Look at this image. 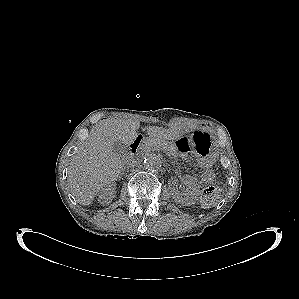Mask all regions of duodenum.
<instances>
[{"mask_svg": "<svg viewBox=\"0 0 299 299\" xmlns=\"http://www.w3.org/2000/svg\"><path fill=\"white\" fill-rule=\"evenodd\" d=\"M144 140V135H138L130 144V151L136 153L141 143Z\"/></svg>", "mask_w": 299, "mask_h": 299, "instance_id": "obj_1", "label": "duodenum"}]
</instances>
